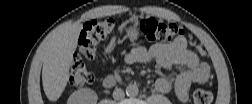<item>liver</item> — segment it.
<instances>
[{
	"mask_svg": "<svg viewBox=\"0 0 252 104\" xmlns=\"http://www.w3.org/2000/svg\"><path fill=\"white\" fill-rule=\"evenodd\" d=\"M83 25L79 22L60 28L52 37L43 61L42 83L46 97L57 101L69 80L73 54Z\"/></svg>",
	"mask_w": 252,
	"mask_h": 104,
	"instance_id": "obj_1",
	"label": "liver"
}]
</instances>
